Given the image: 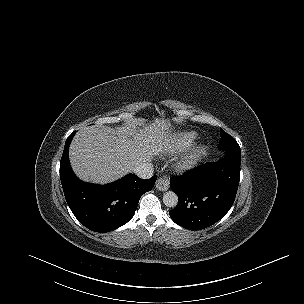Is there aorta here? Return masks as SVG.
Returning a JSON list of instances; mask_svg holds the SVG:
<instances>
[{
	"label": "aorta",
	"mask_w": 304,
	"mask_h": 304,
	"mask_svg": "<svg viewBox=\"0 0 304 304\" xmlns=\"http://www.w3.org/2000/svg\"><path fill=\"white\" fill-rule=\"evenodd\" d=\"M163 203L170 208H174L178 204V195L173 191H167L163 195Z\"/></svg>",
	"instance_id": "1"
}]
</instances>
